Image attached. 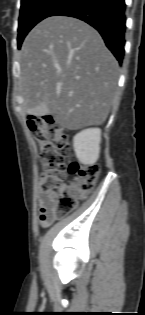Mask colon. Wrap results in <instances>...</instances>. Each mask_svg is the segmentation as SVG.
Segmentation results:
<instances>
[{
	"instance_id": "obj_1",
	"label": "colon",
	"mask_w": 145,
	"mask_h": 315,
	"mask_svg": "<svg viewBox=\"0 0 145 315\" xmlns=\"http://www.w3.org/2000/svg\"><path fill=\"white\" fill-rule=\"evenodd\" d=\"M27 124L40 148L39 156L43 166L39 180L40 191L57 194V215L69 213L75 209L77 200L93 189L100 167L97 164L81 166L76 161L67 165L66 158L71 152L69 137L51 116H31ZM67 171L74 175L69 185L65 183Z\"/></svg>"
}]
</instances>
